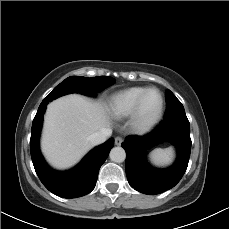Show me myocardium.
<instances>
[{
  "mask_svg": "<svg viewBox=\"0 0 229 229\" xmlns=\"http://www.w3.org/2000/svg\"><path fill=\"white\" fill-rule=\"evenodd\" d=\"M150 92H157L160 97V104L157 111L151 115L146 116L143 110V105L146 96ZM165 108V101L163 94L157 88H148L137 100L134 109L130 115V126L139 134H145L151 131L161 120Z\"/></svg>",
  "mask_w": 229,
  "mask_h": 229,
  "instance_id": "1",
  "label": "myocardium"
}]
</instances>
